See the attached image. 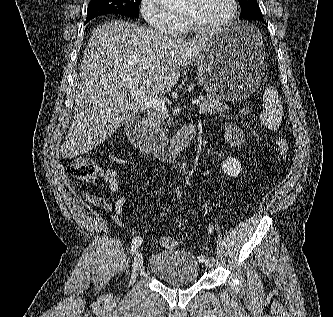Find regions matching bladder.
Segmentation results:
<instances>
[{
    "instance_id": "1",
    "label": "bladder",
    "mask_w": 333,
    "mask_h": 317,
    "mask_svg": "<svg viewBox=\"0 0 333 317\" xmlns=\"http://www.w3.org/2000/svg\"><path fill=\"white\" fill-rule=\"evenodd\" d=\"M148 269L157 279L172 285L193 284L200 277V263L197 256L183 249L152 254Z\"/></svg>"
}]
</instances>
